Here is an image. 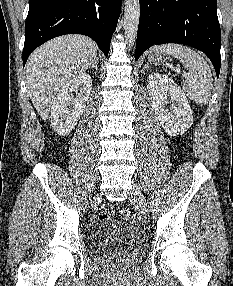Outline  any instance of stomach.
Here are the masks:
<instances>
[{"label": "stomach", "mask_w": 233, "mask_h": 286, "mask_svg": "<svg viewBox=\"0 0 233 286\" xmlns=\"http://www.w3.org/2000/svg\"><path fill=\"white\" fill-rule=\"evenodd\" d=\"M165 54L164 53H161L158 48H154L150 51V54H149V61L150 62H157L159 60H161L163 58Z\"/></svg>", "instance_id": "0dacf381"}]
</instances>
